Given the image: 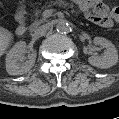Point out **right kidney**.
Here are the masks:
<instances>
[{"label": "right kidney", "instance_id": "right-kidney-1", "mask_svg": "<svg viewBox=\"0 0 119 119\" xmlns=\"http://www.w3.org/2000/svg\"><path fill=\"white\" fill-rule=\"evenodd\" d=\"M27 52L26 43L17 42L6 56V70L10 75H22L27 73L35 64L37 53L29 52L28 60L24 62V54Z\"/></svg>", "mask_w": 119, "mask_h": 119}]
</instances>
